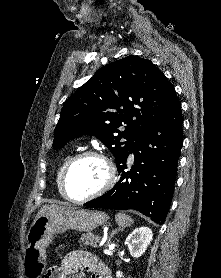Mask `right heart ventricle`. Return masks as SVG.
Returning a JSON list of instances; mask_svg holds the SVG:
<instances>
[{"mask_svg":"<svg viewBox=\"0 0 221 278\" xmlns=\"http://www.w3.org/2000/svg\"><path fill=\"white\" fill-rule=\"evenodd\" d=\"M70 157H71L70 153H67L62 158V160L60 161V163L58 165L57 172H56V186H57L59 193L62 196H63V194H62V190H61V175H62L63 168H64L65 164L67 163V161L70 159Z\"/></svg>","mask_w":221,"mask_h":278,"instance_id":"e07e8e85","label":"right heart ventricle"}]
</instances>
